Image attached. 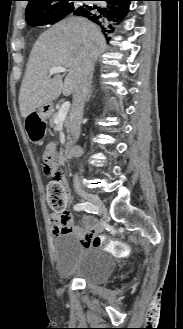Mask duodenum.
<instances>
[{
    "instance_id": "obj_1",
    "label": "duodenum",
    "mask_w": 183,
    "mask_h": 329,
    "mask_svg": "<svg viewBox=\"0 0 183 329\" xmlns=\"http://www.w3.org/2000/svg\"><path fill=\"white\" fill-rule=\"evenodd\" d=\"M82 152L81 148L79 146L73 145L68 147L65 152L64 155L67 159H71L77 155H79Z\"/></svg>"
}]
</instances>
